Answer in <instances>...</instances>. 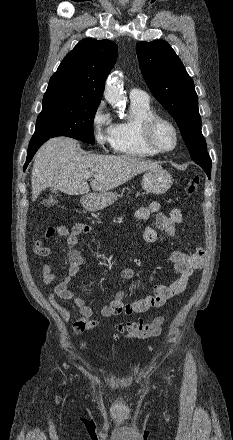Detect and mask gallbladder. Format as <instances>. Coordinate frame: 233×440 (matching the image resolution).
Listing matches in <instances>:
<instances>
[{
	"label": "gallbladder",
	"mask_w": 233,
	"mask_h": 440,
	"mask_svg": "<svg viewBox=\"0 0 233 440\" xmlns=\"http://www.w3.org/2000/svg\"><path fill=\"white\" fill-rule=\"evenodd\" d=\"M50 190H51V192L54 193V194H57V195H58V193H59V191H58L57 189L50 188Z\"/></svg>",
	"instance_id": "obj_1"
}]
</instances>
